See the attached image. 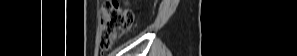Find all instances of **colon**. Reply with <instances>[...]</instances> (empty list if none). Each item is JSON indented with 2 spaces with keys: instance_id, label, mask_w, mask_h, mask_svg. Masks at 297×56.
I'll return each mask as SVG.
<instances>
[{
  "instance_id": "1",
  "label": "colon",
  "mask_w": 297,
  "mask_h": 56,
  "mask_svg": "<svg viewBox=\"0 0 297 56\" xmlns=\"http://www.w3.org/2000/svg\"><path fill=\"white\" fill-rule=\"evenodd\" d=\"M134 13L128 7H122L116 0L106 1L100 10V49L108 51L114 42L130 29Z\"/></svg>"
}]
</instances>
